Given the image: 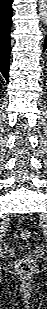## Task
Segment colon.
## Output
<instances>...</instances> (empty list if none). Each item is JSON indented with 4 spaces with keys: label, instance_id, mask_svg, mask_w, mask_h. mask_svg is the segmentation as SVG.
<instances>
[{
    "label": "colon",
    "instance_id": "colon-1",
    "mask_svg": "<svg viewBox=\"0 0 47 309\" xmlns=\"http://www.w3.org/2000/svg\"><path fill=\"white\" fill-rule=\"evenodd\" d=\"M21 238L26 240L31 236V230L25 228L21 231ZM36 269V262L31 258H23L18 263V270L22 274H30Z\"/></svg>",
    "mask_w": 47,
    "mask_h": 309
}]
</instances>
